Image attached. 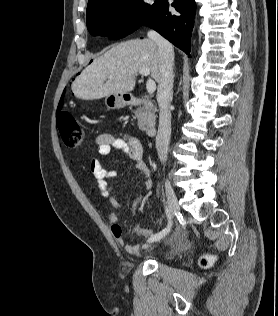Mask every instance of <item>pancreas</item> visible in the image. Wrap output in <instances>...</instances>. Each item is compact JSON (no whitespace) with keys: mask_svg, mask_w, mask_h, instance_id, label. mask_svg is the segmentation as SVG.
<instances>
[{"mask_svg":"<svg viewBox=\"0 0 278 316\" xmlns=\"http://www.w3.org/2000/svg\"><path fill=\"white\" fill-rule=\"evenodd\" d=\"M157 109L153 102L148 98L145 99L144 106L135 110V115L138 118V126L141 131H146L149 127L155 125Z\"/></svg>","mask_w":278,"mask_h":316,"instance_id":"obj_1","label":"pancreas"}]
</instances>
